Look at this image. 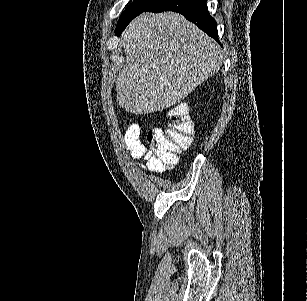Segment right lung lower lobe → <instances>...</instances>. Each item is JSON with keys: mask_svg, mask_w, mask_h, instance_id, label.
Returning a JSON list of instances; mask_svg holds the SVG:
<instances>
[{"mask_svg": "<svg viewBox=\"0 0 307 301\" xmlns=\"http://www.w3.org/2000/svg\"><path fill=\"white\" fill-rule=\"evenodd\" d=\"M207 0H160L144 12L160 13L163 11H174L185 16V18L201 30L206 32L208 36L218 41L217 23L209 15L206 5Z\"/></svg>", "mask_w": 307, "mask_h": 301, "instance_id": "98d812e1", "label": "right lung lower lobe"}]
</instances>
